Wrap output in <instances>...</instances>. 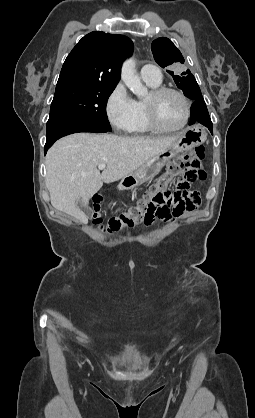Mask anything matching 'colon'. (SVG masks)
<instances>
[{
	"label": "colon",
	"mask_w": 255,
	"mask_h": 418,
	"mask_svg": "<svg viewBox=\"0 0 255 418\" xmlns=\"http://www.w3.org/2000/svg\"><path fill=\"white\" fill-rule=\"evenodd\" d=\"M204 148L197 147L185 153L181 161L173 162L167 168L160 182L150 187L147 197L139 206L123 212L109 219L104 231L108 234H117L125 227L134 226L140 221L148 226L157 220H168L171 217L179 218L186 211H192L200 205L198 192L190 190V184L202 181L205 172L202 168ZM181 174L175 191L163 190L165 183L173 176ZM100 198L95 200L93 223L102 226V208Z\"/></svg>",
	"instance_id": "1"
}]
</instances>
